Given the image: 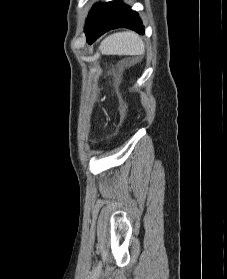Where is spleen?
Listing matches in <instances>:
<instances>
[{"instance_id":"obj_1","label":"spleen","mask_w":227,"mask_h":279,"mask_svg":"<svg viewBox=\"0 0 227 279\" xmlns=\"http://www.w3.org/2000/svg\"><path fill=\"white\" fill-rule=\"evenodd\" d=\"M99 49L106 55H143L145 52L142 39L131 31L108 36L102 41Z\"/></svg>"}]
</instances>
